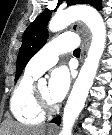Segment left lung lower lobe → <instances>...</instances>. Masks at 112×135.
I'll use <instances>...</instances> for the list:
<instances>
[{
  "label": "left lung lower lobe",
  "instance_id": "0a47b994",
  "mask_svg": "<svg viewBox=\"0 0 112 135\" xmlns=\"http://www.w3.org/2000/svg\"><path fill=\"white\" fill-rule=\"evenodd\" d=\"M60 120H61V118L58 116V117L54 118V119L52 120V122H55V123H57V124H60Z\"/></svg>",
  "mask_w": 112,
  "mask_h": 135
}]
</instances>
